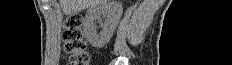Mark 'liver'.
Segmentation results:
<instances>
[{
    "instance_id": "6515ba94",
    "label": "liver",
    "mask_w": 232,
    "mask_h": 65,
    "mask_svg": "<svg viewBox=\"0 0 232 65\" xmlns=\"http://www.w3.org/2000/svg\"><path fill=\"white\" fill-rule=\"evenodd\" d=\"M99 1L100 0H60V5L65 14L71 15L83 11Z\"/></svg>"
}]
</instances>
